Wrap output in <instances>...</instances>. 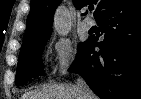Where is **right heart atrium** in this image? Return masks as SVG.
I'll return each mask as SVG.
<instances>
[{
    "mask_svg": "<svg viewBox=\"0 0 141 99\" xmlns=\"http://www.w3.org/2000/svg\"><path fill=\"white\" fill-rule=\"evenodd\" d=\"M56 70L61 76L70 73L77 60L76 46L68 39H58L53 45Z\"/></svg>",
    "mask_w": 141,
    "mask_h": 99,
    "instance_id": "d8ad5b80",
    "label": "right heart atrium"
}]
</instances>
